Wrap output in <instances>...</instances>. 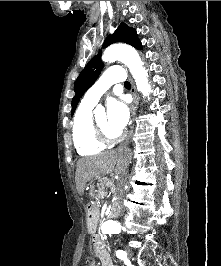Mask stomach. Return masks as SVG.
Here are the masks:
<instances>
[{"label":"stomach","instance_id":"stomach-1","mask_svg":"<svg viewBox=\"0 0 221 266\" xmlns=\"http://www.w3.org/2000/svg\"><path fill=\"white\" fill-rule=\"evenodd\" d=\"M86 191H88V195L91 198H94V197H97L98 196V192L95 189V186L93 184L87 185ZM97 216H98V213H97L96 208H90V209H88V212H87V221H88V224L89 225H93L94 222L97 219Z\"/></svg>","mask_w":221,"mask_h":266}]
</instances>
